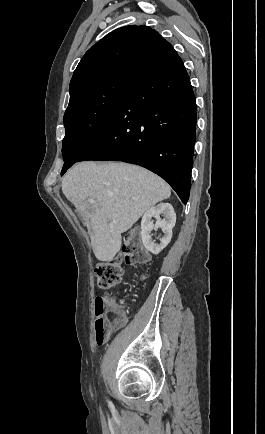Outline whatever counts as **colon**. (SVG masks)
I'll return each instance as SVG.
<instances>
[{
  "mask_svg": "<svg viewBox=\"0 0 265 434\" xmlns=\"http://www.w3.org/2000/svg\"><path fill=\"white\" fill-rule=\"evenodd\" d=\"M146 261L147 258L138 244V238L133 237L125 247V251L119 254L115 260L103 262L95 267L98 288L107 291L117 286L122 274V263L140 264ZM94 299L97 301L94 304L96 308L94 329L97 333L95 345L96 347H107L111 338L110 327H118V317L122 319V316H119L118 311H112L110 315L104 314L106 304L103 302L105 296L102 293L95 294Z\"/></svg>",
  "mask_w": 265,
  "mask_h": 434,
  "instance_id": "obj_1",
  "label": "colon"
}]
</instances>
